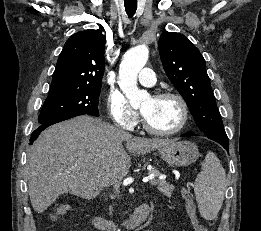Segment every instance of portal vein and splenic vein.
I'll list each match as a JSON object with an SVG mask.
<instances>
[{"label": "portal vein and splenic vein", "mask_w": 261, "mask_h": 231, "mask_svg": "<svg viewBox=\"0 0 261 231\" xmlns=\"http://www.w3.org/2000/svg\"><path fill=\"white\" fill-rule=\"evenodd\" d=\"M144 182H148L149 181V183L150 184H155L154 183V175L153 174H151V175H149L147 178H146V180H143Z\"/></svg>", "instance_id": "portal-vein-and-splenic-vein-1"}]
</instances>
